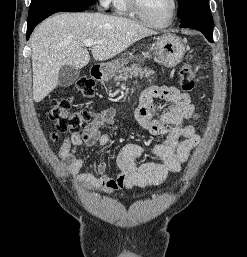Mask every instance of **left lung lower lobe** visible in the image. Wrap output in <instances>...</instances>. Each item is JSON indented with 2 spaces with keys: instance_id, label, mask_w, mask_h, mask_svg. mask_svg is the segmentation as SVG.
Here are the masks:
<instances>
[{
  "instance_id": "obj_1",
  "label": "left lung lower lobe",
  "mask_w": 247,
  "mask_h": 257,
  "mask_svg": "<svg viewBox=\"0 0 247 257\" xmlns=\"http://www.w3.org/2000/svg\"><path fill=\"white\" fill-rule=\"evenodd\" d=\"M180 27L193 28L202 32L209 42L213 43V19L194 15L182 19Z\"/></svg>"
}]
</instances>
